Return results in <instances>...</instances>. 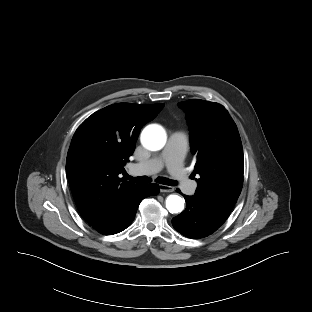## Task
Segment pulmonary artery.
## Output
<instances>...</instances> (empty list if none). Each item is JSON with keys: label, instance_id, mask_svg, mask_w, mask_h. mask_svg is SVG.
I'll return each mask as SVG.
<instances>
[{"label": "pulmonary artery", "instance_id": "e3ab8cb5", "mask_svg": "<svg viewBox=\"0 0 312 312\" xmlns=\"http://www.w3.org/2000/svg\"><path fill=\"white\" fill-rule=\"evenodd\" d=\"M187 148V136L182 132H174L169 136L159 157L136 163L133 169L141 173H155L166 166L178 185L186 193L192 194L195 191V183L188 178L183 168V158Z\"/></svg>", "mask_w": 312, "mask_h": 312}]
</instances>
